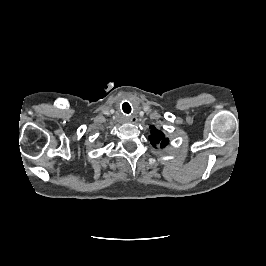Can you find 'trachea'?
Here are the masks:
<instances>
[{
  "label": "trachea",
  "instance_id": "trachea-1",
  "mask_svg": "<svg viewBox=\"0 0 266 266\" xmlns=\"http://www.w3.org/2000/svg\"><path fill=\"white\" fill-rule=\"evenodd\" d=\"M123 111L127 114L131 112V106L127 102L123 104Z\"/></svg>",
  "mask_w": 266,
  "mask_h": 266
}]
</instances>
